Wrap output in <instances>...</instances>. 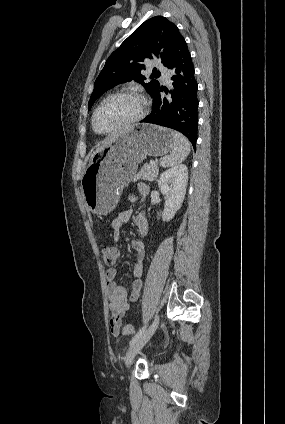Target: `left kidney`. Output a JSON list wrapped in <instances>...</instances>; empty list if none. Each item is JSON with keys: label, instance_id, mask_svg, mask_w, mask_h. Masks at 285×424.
Returning <instances> with one entry per match:
<instances>
[{"label": "left kidney", "instance_id": "5707ae66", "mask_svg": "<svg viewBox=\"0 0 285 424\" xmlns=\"http://www.w3.org/2000/svg\"><path fill=\"white\" fill-rule=\"evenodd\" d=\"M188 182L186 165H176L163 172L158 180V187L167 197L162 212L163 221H170L181 208Z\"/></svg>", "mask_w": 285, "mask_h": 424}]
</instances>
